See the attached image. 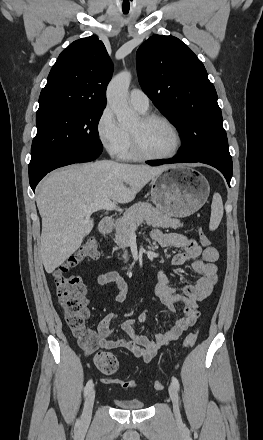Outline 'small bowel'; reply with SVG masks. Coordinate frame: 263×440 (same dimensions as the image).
Returning <instances> with one entry per match:
<instances>
[{
	"instance_id": "1",
	"label": "small bowel",
	"mask_w": 263,
	"mask_h": 440,
	"mask_svg": "<svg viewBox=\"0 0 263 440\" xmlns=\"http://www.w3.org/2000/svg\"><path fill=\"white\" fill-rule=\"evenodd\" d=\"M150 238L162 248H180L181 252L172 259L176 268L185 262H191L194 272L200 277L194 284L176 288L171 285L168 275L159 270L157 284L152 301H158L171 312L176 313L181 308V316L164 333H153V338L140 334L135 329V323H147L149 308L145 307L136 318H128L122 322V329L128 335L127 339L112 340L110 324L119 318V314L112 312L104 316L98 323L95 331L96 341L88 350L92 353L98 349L122 348L131 352L136 358L148 363L158 351L168 343L177 340L181 334L193 326L200 316V305L210 295L217 282V261L219 254L216 248L201 246L192 239L180 233H163L159 229L150 232ZM95 282L100 286L114 284L118 288L115 300L118 303L126 301L129 286L126 280L117 271H107L96 276Z\"/></svg>"
}]
</instances>
